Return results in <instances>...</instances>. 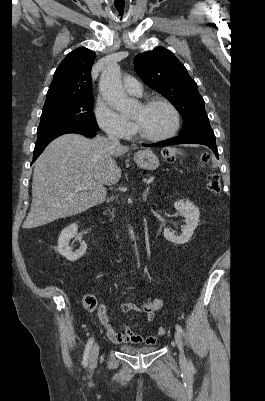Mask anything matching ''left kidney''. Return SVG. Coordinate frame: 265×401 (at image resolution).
<instances>
[{
  "label": "left kidney",
  "mask_w": 265,
  "mask_h": 401,
  "mask_svg": "<svg viewBox=\"0 0 265 401\" xmlns=\"http://www.w3.org/2000/svg\"><path fill=\"white\" fill-rule=\"evenodd\" d=\"M174 207L180 215H183L185 217L186 225L184 229H182V235H174L172 231H169V229H164V237L167 239V241H171V243H176V245H184V243H188L190 241V237L193 235V231H195L196 227H198L199 223V209L198 207H195L191 201H176L174 203Z\"/></svg>",
  "instance_id": "1"
}]
</instances>
